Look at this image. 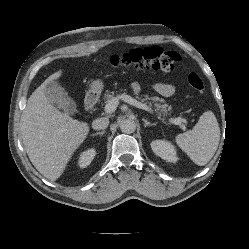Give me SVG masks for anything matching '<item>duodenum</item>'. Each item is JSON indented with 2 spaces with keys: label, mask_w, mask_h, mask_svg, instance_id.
Returning <instances> with one entry per match:
<instances>
[{
  "label": "duodenum",
  "mask_w": 249,
  "mask_h": 249,
  "mask_svg": "<svg viewBox=\"0 0 249 249\" xmlns=\"http://www.w3.org/2000/svg\"><path fill=\"white\" fill-rule=\"evenodd\" d=\"M97 100H98V92L94 90L90 91L85 98V110L87 112L92 111Z\"/></svg>",
  "instance_id": "duodenum-1"
}]
</instances>
